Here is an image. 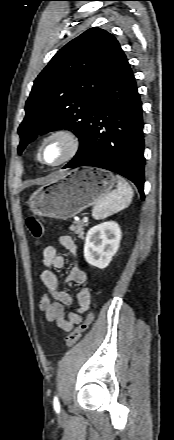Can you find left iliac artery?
<instances>
[{
  "label": "left iliac artery",
  "mask_w": 174,
  "mask_h": 440,
  "mask_svg": "<svg viewBox=\"0 0 174 440\" xmlns=\"http://www.w3.org/2000/svg\"><path fill=\"white\" fill-rule=\"evenodd\" d=\"M53 406L55 411L59 412L60 411V403L58 401V398L55 396L54 400H53Z\"/></svg>",
  "instance_id": "44dca946"
}]
</instances>
